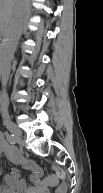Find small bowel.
<instances>
[{
	"instance_id": "obj_1",
	"label": "small bowel",
	"mask_w": 103,
	"mask_h": 193,
	"mask_svg": "<svg viewBox=\"0 0 103 193\" xmlns=\"http://www.w3.org/2000/svg\"><path fill=\"white\" fill-rule=\"evenodd\" d=\"M0 151L11 163L18 164L31 173L32 185L27 184L17 168H10L4 177L1 193H66V185L59 182L56 176L42 178V168L33 161L24 158L19 151L10 146L5 137H0Z\"/></svg>"
}]
</instances>
